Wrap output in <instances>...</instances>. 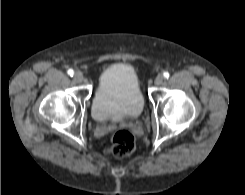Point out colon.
I'll return each instance as SVG.
<instances>
[{"label":"colon","mask_w":245,"mask_h":195,"mask_svg":"<svg viewBox=\"0 0 245 195\" xmlns=\"http://www.w3.org/2000/svg\"><path fill=\"white\" fill-rule=\"evenodd\" d=\"M136 146L134 135L127 130H118L111 136L110 145L105 153L117 158L130 155Z\"/></svg>","instance_id":"colon-1"}]
</instances>
